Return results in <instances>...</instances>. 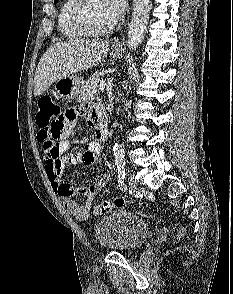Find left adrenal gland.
I'll return each instance as SVG.
<instances>
[{
	"label": "left adrenal gland",
	"instance_id": "1",
	"mask_svg": "<svg viewBox=\"0 0 233 294\" xmlns=\"http://www.w3.org/2000/svg\"><path fill=\"white\" fill-rule=\"evenodd\" d=\"M107 94L109 100L112 99V90H113V78H109L107 82Z\"/></svg>",
	"mask_w": 233,
	"mask_h": 294
}]
</instances>
